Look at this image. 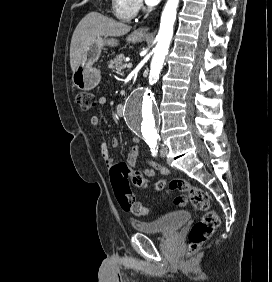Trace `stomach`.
<instances>
[{"instance_id":"0dacf381","label":"stomach","mask_w":272,"mask_h":282,"mask_svg":"<svg viewBox=\"0 0 272 282\" xmlns=\"http://www.w3.org/2000/svg\"><path fill=\"white\" fill-rule=\"evenodd\" d=\"M144 38L145 34L135 31L127 37V41L136 43L142 41ZM117 44V39L108 38V36L100 37L93 41L83 54L77 68L73 71V85L81 90H91L96 87L100 82L101 73L99 69L94 67V63L98 61L101 51L105 46H116Z\"/></svg>"}]
</instances>
